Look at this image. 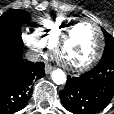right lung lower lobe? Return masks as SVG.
I'll return each instance as SVG.
<instances>
[{
	"label": "right lung lower lobe",
	"instance_id": "right-lung-lower-lobe-1",
	"mask_svg": "<svg viewBox=\"0 0 114 114\" xmlns=\"http://www.w3.org/2000/svg\"><path fill=\"white\" fill-rule=\"evenodd\" d=\"M45 76L44 63L23 61L22 47L0 44V114L23 109L33 81Z\"/></svg>",
	"mask_w": 114,
	"mask_h": 114
}]
</instances>
